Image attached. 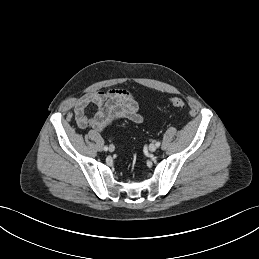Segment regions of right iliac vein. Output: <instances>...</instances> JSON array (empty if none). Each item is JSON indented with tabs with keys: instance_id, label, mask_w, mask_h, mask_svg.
Returning <instances> with one entry per match:
<instances>
[{
	"instance_id": "right-iliac-vein-1",
	"label": "right iliac vein",
	"mask_w": 259,
	"mask_h": 259,
	"mask_svg": "<svg viewBox=\"0 0 259 259\" xmlns=\"http://www.w3.org/2000/svg\"><path fill=\"white\" fill-rule=\"evenodd\" d=\"M114 150H115V147H114L113 145H110L109 151H110V152H113Z\"/></svg>"
}]
</instances>
